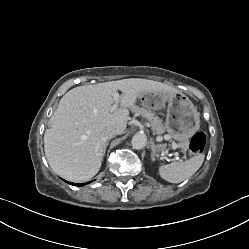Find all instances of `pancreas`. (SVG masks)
Returning <instances> with one entry per match:
<instances>
[{"label":"pancreas","mask_w":249,"mask_h":249,"mask_svg":"<svg viewBox=\"0 0 249 249\" xmlns=\"http://www.w3.org/2000/svg\"><path fill=\"white\" fill-rule=\"evenodd\" d=\"M130 110L150 121L152 131L158 134H162L165 131V127L162 125V120L159 117L155 116L151 111L145 108H140L136 105L130 107Z\"/></svg>","instance_id":"pancreas-1"}]
</instances>
